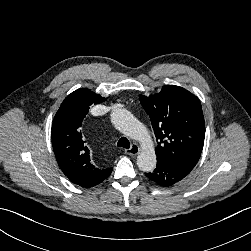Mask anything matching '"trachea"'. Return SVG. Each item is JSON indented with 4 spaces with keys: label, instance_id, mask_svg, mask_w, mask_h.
<instances>
[{
    "label": "trachea",
    "instance_id": "3493384b",
    "mask_svg": "<svg viewBox=\"0 0 251 251\" xmlns=\"http://www.w3.org/2000/svg\"><path fill=\"white\" fill-rule=\"evenodd\" d=\"M117 146L129 149L130 148V142L126 137H122V138L119 139V141L117 143Z\"/></svg>",
    "mask_w": 251,
    "mask_h": 251
}]
</instances>
